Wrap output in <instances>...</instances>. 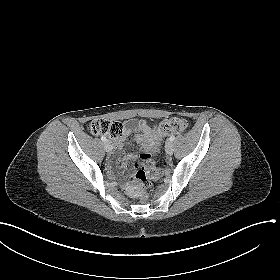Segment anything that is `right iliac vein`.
<instances>
[{"instance_id": "63e3f726", "label": "right iliac vein", "mask_w": 280, "mask_h": 280, "mask_svg": "<svg viewBox=\"0 0 280 280\" xmlns=\"http://www.w3.org/2000/svg\"><path fill=\"white\" fill-rule=\"evenodd\" d=\"M104 147H105L106 152H108V153L112 152V150H113V145L110 141H105Z\"/></svg>"}]
</instances>
